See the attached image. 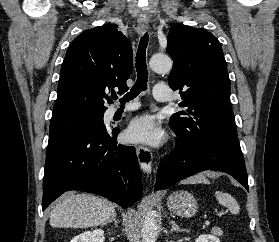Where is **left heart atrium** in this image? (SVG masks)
Returning a JSON list of instances; mask_svg holds the SVG:
<instances>
[{
    "mask_svg": "<svg viewBox=\"0 0 279 242\" xmlns=\"http://www.w3.org/2000/svg\"><path fill=\"white\" fill-rule=\"evenodd\" d=\"M126 136L133 143L157 145L161 142L163 134L152 117L141 115L130 122Z\"/></svg>",
    "mask_w": 279,
    "mask_h": 242,
    "instance_id": "left-heart-atrium-1",
    "label": "left heart atrium"
}]
</instances>
